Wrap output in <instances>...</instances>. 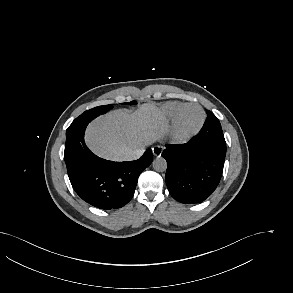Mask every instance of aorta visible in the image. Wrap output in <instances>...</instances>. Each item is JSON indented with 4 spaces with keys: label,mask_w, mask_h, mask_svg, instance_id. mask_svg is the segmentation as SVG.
<instances>
[{
    "label": "aorta",
    "mask_w": 293,
    "mask_h": 293,
    "mask_svg": "<svg viewBox=\"0 0 293 293\" xmlns=\"http://www.w3.org/2000/svg\"><path fill=\"white\" fill-rule=\"evenodd\" d=\"M153 168L157 172H164L167 169V162L163 157H157L153 161Z\"/></svg>",
    "instance_id": "obj_1"
}]
</instances>
